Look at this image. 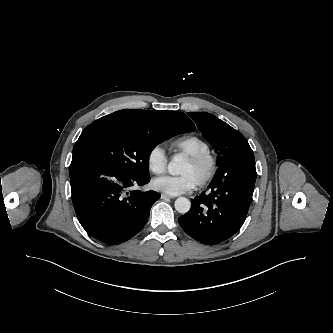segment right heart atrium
Masks as SVG:
<instances>
[{"instance_id": "obj_1", "label": "right heart atrium", "mask_w": 333, "mask_h": 333, "mask_svg": "<svg viewBox=\"0 0 333 333\" xmlns=\"http://www.w3.org/2000/svg\"><path fill=\"white\" fill-rule=\"evenodd\" d=\"M146 162L149 171L155 175H162L167 170L168 159L160 145H155L149 150Z\"/></svg>"}]
</instances>
